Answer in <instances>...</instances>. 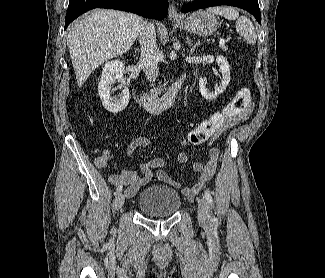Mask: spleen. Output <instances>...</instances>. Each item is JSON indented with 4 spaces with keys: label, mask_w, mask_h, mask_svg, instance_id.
Instances as JSON below:
<instances>
[{
    "label": "spleen",
    "mask_w": 325,
    "mask_h": 278,
    "mask_svg": "<svg viewBox=\"0 0 325 278\" xmlns=\"http://www.w3.org/2000/svg\"><path fill=\"white\" fill-rule=\"evenodd\" d=\"M208 13L220 15L228 20H236V31L242 35L247 43L255 44L257 34L253 23L246 16L239 15V12L233 7H210Z\"/></svg>",
    "instance_id": "3e777b00"
}]
</instances>
